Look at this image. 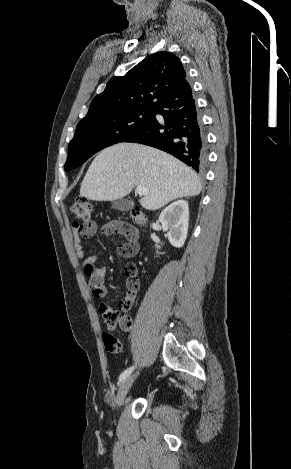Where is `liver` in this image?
Here are the masks:
<instances>
[{"mask_svg": "<svg viewBox=\"0 0 291 469\" xmlns=\"http://www.w3.org/2000/svg\"><path fill=\"white\" fill-rule=\"evenodd\" d=\"M143 185L148 194L139 200L147 210L201 192L198 175L173 156L135 143H119L102 150L91 163L80 187L89 200L115 201Z\"/></svg>", "mask_w": 291, "mask_h": 469, "instance_id": "1", "label": "liver"}]
</instances>
